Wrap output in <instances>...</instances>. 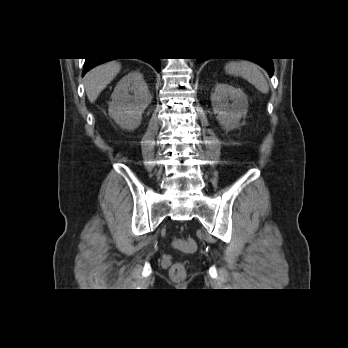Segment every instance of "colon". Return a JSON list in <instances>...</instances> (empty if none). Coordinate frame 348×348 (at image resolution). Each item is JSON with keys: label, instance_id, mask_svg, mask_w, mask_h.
<instances>
[{"label": "colon", "instance_id": "5ec220e1", "mask_svg": "<svg viewBox=\"0 0 348 348\" xmlns=\"http://www.w3.org/2000/svg\"><path fill=\"white\" fill-rule=\"evenodd\" d=\"M174 247L178 250L186 253H192L196 250V243L190 238H177L174 240ZM185 272L184 265L182 263H176L171 268V275L173 277L183 276Z\"/></svg>", "mask_w": 348, "mask_h": 348}]
</instances>
